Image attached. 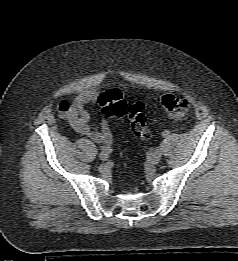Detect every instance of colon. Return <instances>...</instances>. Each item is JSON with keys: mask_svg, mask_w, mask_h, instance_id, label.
Returning a JSON list of instances; mask_svg holds the SVG:
<instances>
[{"mask_svg": "<svg viewBox=\"0 0 238 261\" xmlns=\"http://www.w3.org/2000/svg\"><path fill=\"white\" fill-rule=\"evenodd\" d=\"M103 113L108 117H122L127 115L133 134L141 139L150 137V130L145 116V105L142 102L128 104L118 89H109L102 92L98 98ZM160 103L169 117L182 120L190 109V104L185 98L165 94L160 98Z\"/></svg>", "mask_w": 238, "mask_h": 261, "instance_id": "obj_1", "label": "colon"}]
</instances>
